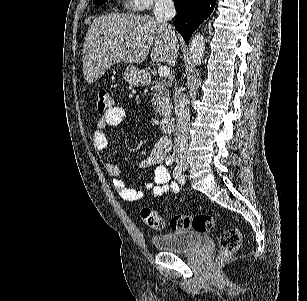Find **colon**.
Returning a JSON list of instances; mask_svg holds the SVG:
<instances>
[{"mask_svg": "<svg viewBox=\"0 0 307 301\" xmlns=\"http://www.w3.org/2000/svg\"><path fill=\"white\" fill-rule=\"evenodd\" d=\"M111 107V98L107 91L100 90L97 98V110L100 113L106 112ZM143 222L150 228L160 230L164 228L165 222L161 215L151 209L141 210ZM216 220L207 213L196 215H175L170 220V227L174 230L192 229L199 233H208L215 228ZM242 244V234L236 227L223 231L219 237L220 254L219 259L224 260L233 255Z\"/></svg>", "mask_w": 307, "mask_h": 301, "instance_id": "obj_1", "label": "colon"}]
</instances>
